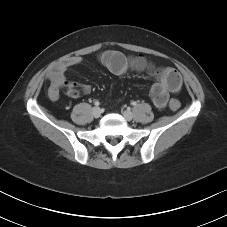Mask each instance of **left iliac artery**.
<instances>
[{
  "mask_svg": "<svg viewBox=\"0 0 227 227\" xmlns=\"http://www.w3.org/2000/svg\"><path fill=\"white\" fill-rule=\"evenodd\" d=\"M131 104H132L133 106H135L137 103H136L135 101H133Z\"/></svg>",
  "mask_w": 227,
  "mask_h": 227,
  "instance_id": "obj_1",
  "label": "left iliac artery"
}]
</instances>
